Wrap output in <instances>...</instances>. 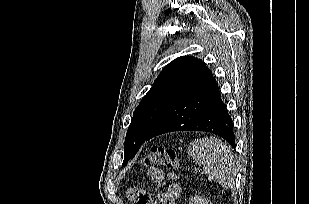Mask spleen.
I'll return each mask as SVG.
<instances>
[{
	"mask_svg": "<svg viewBox=\"0 0 309 204\" xmlns=\"http://www.w3.org/2000/svg\"><path fill=\"white\" fill-rule=\"evenodd\" d=\"M188 154L206 168L208 178L226 189L234 186L236 164L230 148L221 140L205 137L195 140L188 147Z\"/></svg>",
	"mask_w": 309,
	"mask_h": 204,
	"instance_id": "obj_1",
	"label": "spleen"
}]
</instances>
